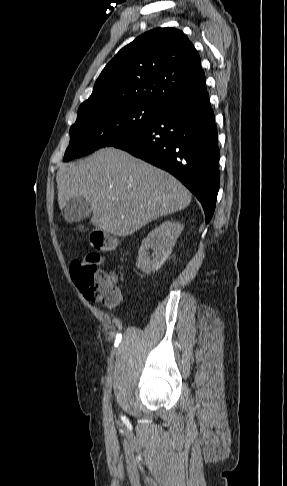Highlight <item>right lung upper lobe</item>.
Instances as JSON below:
<instances>
[{"instance_id":"1","label":"right lung upper lobe","mask_w":287,"mask_h":486,"mask_svg":"<svg viewBox=\"0 0 287 486\" xmlns=\"http://www.w3.org/2000/svg\"><path fill=\"white\" fill-rule=\"evenodd\" d=\"M206 88L200 56L184 33L156 28L122 48L106 65L79 110L117 101L167 106Z\"/></svg>"}]
</instances>
